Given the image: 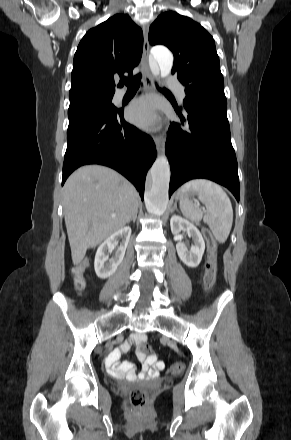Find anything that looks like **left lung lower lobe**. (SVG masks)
<instances>
[{
    "mask_svg": "<svg viewBox=\"0 0 291 440\" xmlns=\"http://www.w3.org/2000/svg\"><path fill=\"white\" fill-rule=\"evenodd\" d=\"M184 108L186 117L176 110L182 125L171 123L166 141L171 164L169 197L186 181L205 178L227 187L239 201L237 160L227 106L188 100Z\"/></svg>",
    "mask_w": 291,
    "mask_h": 440,
    "instance_id": "1",
    "label": "left lung lower lobe"
}]
</instances>
